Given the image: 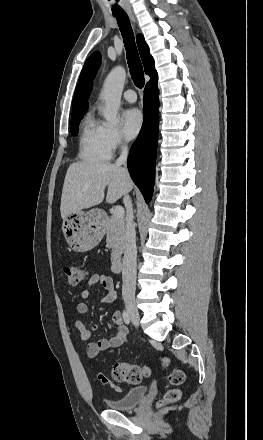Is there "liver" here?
Wrapping results in <instances>:
<instances>
[{
  "instance_id": "6515ba94",
  "label": "liver",
  "mask_w": 263,
  "mask_h": 440,
  "mask_svg": "<svg viewBox=\"0 0 263 440\" xmlns=\"http://www.w3.org/2000/svg\"><path fill=\"white\" fill-rule=\"evenodd\" d=\"M114 203L133 187V182L122 169L106 162L82 161L72 163L66 173L60 213L65 219L71 212L99 205L105 196Z\"/></svg>"
}]
</instances>
